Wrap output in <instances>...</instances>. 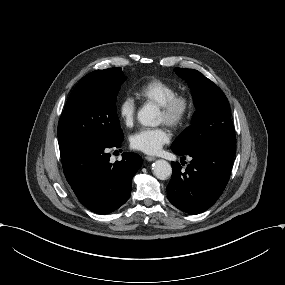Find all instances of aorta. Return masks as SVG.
Listing matches in <instances>:
<instances>
[{"mask_svg": "<svg viewBox=\"0 0 285 285\" xmlns=\"http://www.w3.org/2000/svg\"><path fill=\"white\" fill-rule=\"evenodd\" d=\"M138 121L144 126L158 125V110L152 105L144 106L138 112ZM154 175L160 180H166L172 174L171 165L165 160H156L152 165Z\"/></svg>", "mask_w": 285, "mask_h": 285, "instance_id": "1", "label": "aorta"}]
</instances>
